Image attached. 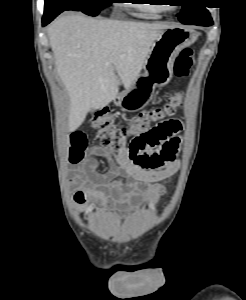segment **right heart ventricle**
Listing matches in <instances>:
<instances>
[{
  "mask_svg": "<svg viewBox=\"0 0 246 300\" xmlns=\"http://www.w3.org/2000/svg\"><path fill=\"white\" fill-rule=\"evenodd\" d=\"M155 0H147V2H152ZM134 9L136 16L143 19L156 20L160 19L164 9L157 4L153 3H144L139 5L131 6Z\"/></svg>",
  "mask_w": 246,
  "mask_h": 300,
  "instance_id": "1",
  "label": "right heart ventricle"
}]
</instances>
